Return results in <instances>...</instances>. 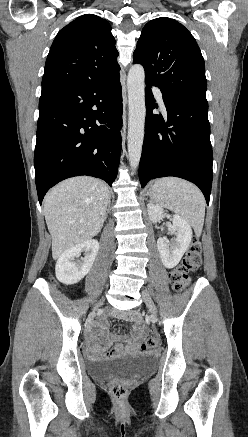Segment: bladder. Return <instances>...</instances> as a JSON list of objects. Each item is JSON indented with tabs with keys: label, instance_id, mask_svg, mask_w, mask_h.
Returning a JSON list of instances; mask_svg holds the SVG:
<instances>
[{
	"label": "bladder",
	"instance_id": "bladder-1",
	"mask_svg": "<svg viewBox=\"0 0 248 437\" xmlns=\"http://www.w3.org/2000/svg\"><path fill=\"white\" fill-rule=\"evenodd\" d=\"M154 363L152 354L143 353L93 362L89 366V373L99 380H127L149 371Z\"/></svg>",
	"mask_w": 248,
	"mask_h": 437
}]
</instances>
